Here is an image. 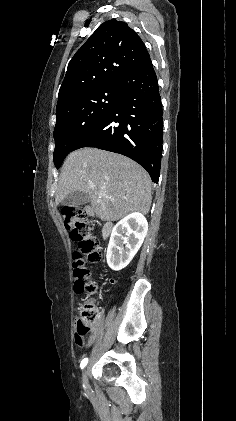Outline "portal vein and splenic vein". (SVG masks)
Here are the masks:
<instances>
[{"label":"portal vein and splenic vein","instance_id":"18ae733b","mask_svg":"<svg viewBox=\"0 0 236 421\" xmlns=\"http://www.w3.org/2000/svg\"><path fill=\"white\" fill-rule=\"evenodd\" d=\"M90 188H94L95 184H89ZM105 198H113V196H105ZM126 198V196H124Z\"/></svg>","mask_w":236,"mask_h":421}]
</instances>
